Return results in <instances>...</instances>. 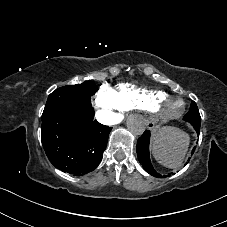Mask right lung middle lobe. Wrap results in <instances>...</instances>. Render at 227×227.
<instances>
[{"label": "right lung middle lobe", "mask_w": 227, "mask_h": 227, "mask_svg": "<svg viewBox=\"0 0 227 227\" xmlns=\"http://www.w3.org/2000/svg\"><path fill=\"white\" fill-rule=\"evenodd\" d=\"M96 91L97 86L91 81L60 87L48 96L42 116L64 106H91V96Z\"/></svg>", "instance_id": "right-lung-middle-lobe-1"}]
</instances>
